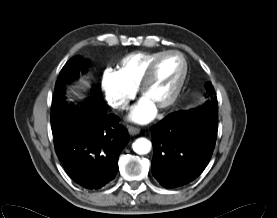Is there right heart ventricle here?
<instances>
[{"mask_svg":"<svg viewBox=\"0 0 277 218\" xmlns=\"http://www.w3.org/2000/svg\"><path fill=\"white\" fill-rule=\"evenodd\" d=\"M160 53V51L131 53L120 61L118 73L127 84L136 89L150 62Z\"/></svg>","mask_w":277,"mask_h":218,"instance_id":"e07e8e85","label":"right heart ventricle"}]
</instances>
